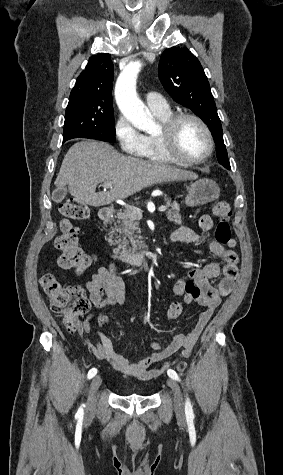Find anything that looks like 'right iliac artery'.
I'll use <instances>...</instances> for the list:
<instances>
[{"label":"right iliac artery","instance_id":"obj_1","mask_svg":"<svg viewBox=\"0 0 283 475\" xmlns=\"http://www.w3.org/2000/svg\"><path fill=\"white\" fill-rule=\"evenodd\" d=\"M96 374H97V369H96V368L90 369L89 372H88V379H91V378L94 377ZM83 414H84L83 408L80 407V408L78 409L77 413H76V417H77V418L83 417Z\"/></svg>","mask_w":283,"mask_h":475}]
</instances>
